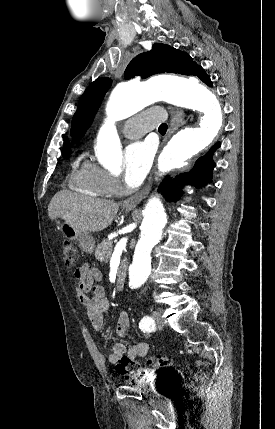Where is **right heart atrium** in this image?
<instances>
[{"label": "right heart atrium", "mask_w": 275, "mask_h": 429, "mask_svg": "<svg viewBox=\"0 0 275 429\" xmlns=\"http://www.w3.org/2000/svg\"><path fill=\"white\" fill-rule=\"evenodd\" d=\"M104 181L110 193H117L120 191L121 184L115 176L105 172Z\"/></svg>", "instance_id": "obj_1"}]
</instances>
